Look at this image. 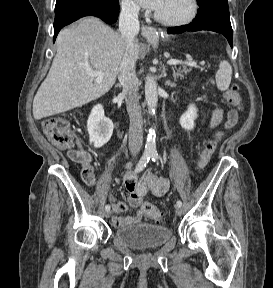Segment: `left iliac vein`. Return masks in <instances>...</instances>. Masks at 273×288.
<instances>
[{
    "label": "left iliac vein",
    "mask_w": 273,
    "mask_h": 288,
    "mask_svg": "<svg viewBox=\"0 0 273 288\" xmlns=\"http://www.w3.org/2000/svg\"><path fill=\"white\" fill-rule=\"evenodd\" d=\"M175 213H176V215H178V216L182 215V213H183L182 208L177 206L176 209H175Z\"/></svg>",
    "instance_id": "4c4485c4"
}]
</instances>
